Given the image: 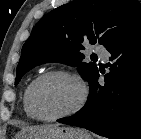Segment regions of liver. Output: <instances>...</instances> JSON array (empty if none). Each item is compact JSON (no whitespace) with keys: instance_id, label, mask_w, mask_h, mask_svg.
Returning <instances> with one entry per match:
<instances>
[{"instance_id":"liver-1","label":"liver","mask_w":141,"mask_h":139,"mask_svg":"<svg viewBox=\"0 0 141 139\" xmlns=\"http://www.w3.org/2000/svg\"><path fill=\"white\" fill-rule=\"evenodd\" d=\"M45 126H49V125H45ZM37 127H40V126L23 127L21 132H27V131L33 130Z\"/></svg>"}]
</instances>
